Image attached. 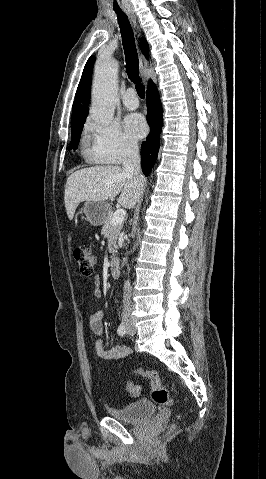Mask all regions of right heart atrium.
<instances>
[{
  "label": "right heart atrium",
  "mask_w": 266,
  "mask_h": 479,
  "mask_svg": "<svg viewBox=\"0 0 266 479\" xmlns=\"http://www.w3.org/2000/svg\"><path fill=\"white\" fill-rule=\"evenodd\" d=\"M90 140L89 159L105 164H120L136 154L137 146L117 123L89 120L85 127Z\"/></svg>",
  "instance_id": "right-heart-atrium-1"
}]
</instances>
